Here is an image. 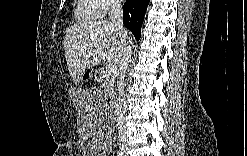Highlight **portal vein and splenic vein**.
Wrapping results in <instances>:
<instances>
[{
  "instance_id": "portal-vein-and-splenic-vein-1",
  "label": "portal vein and splenic vein",
  "mask_w": 247,
  "mask_h": 156,
  "mask_svg": "<svg viewBox=\"0 0 247 156\" xmlns=\"http://www.w3.org/2000/svg\"><path fill=\"white\" fill-rule=\"evenodd\" d=\"M117 66L115 64H109L107 67H106V73L108 74H115L117 72Z\"/></svg>"
}]
</instances>
